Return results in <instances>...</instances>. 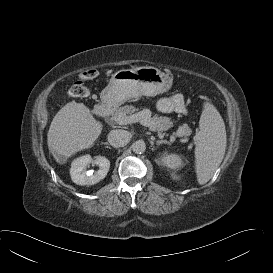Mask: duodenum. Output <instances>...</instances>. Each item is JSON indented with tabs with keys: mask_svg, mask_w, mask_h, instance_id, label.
Masks as SVG:
<instances>
[{
	"mask_svg": "<svg viewBox=\"0 0 273 273\" xmlns=\"http://www.w3.org/2000/svg\"><path fill=\"white\" fill-rule=\"evenodd\" d=\"M95 112L99 116H106L109 113V108L105 104H98L95 108Z\"/></svg>",
	"mask_w": 273,
	"mask_h": 273,
	"instance_id": "410a0bca",
	"label": "duodenum"
}]
</instances>
